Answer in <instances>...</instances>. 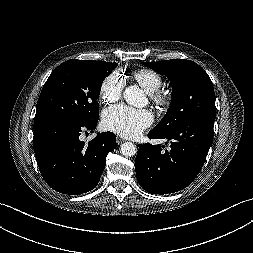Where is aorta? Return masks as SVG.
I'll return each mask as SVG.
<instances>
[{"instance_id":"762f6f07","label":"aorta","mask_w":253,"mask_h":253,"mask_svg":"<svg viewBox=\"0 0 253 253\" xmlns=\"http://www.w3.org/2000/svg\"><path fill=\"white\" fill-rule=\"evenodd\" d=\"M125 101L135 107H143L147 103V98L143 91L137 86H129L123 93ZM120 152L126 157L134 156L137 152L136 146L132 142H125L121 145Z\"/></svg>"}]
</instances>
